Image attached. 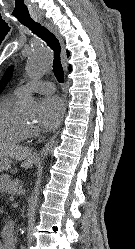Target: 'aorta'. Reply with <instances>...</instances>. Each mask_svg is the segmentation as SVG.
Listing matches in <instances>:
<instances>
[{"label":"aorta","mask_w":135,"mask_h":249,"mask_svg":"<svg viewBox=\"0 0 135 249\" xmlns=\"http://www.w3.org/2000/svg\"><path fill=\"white\" fill-rule=\"evenodd\" d=\"M51 66V54L45 47L35 48L28 57L26 64V74L32 80L41 79ZM23 108L30 114L37 111V102L31 95L24 97Z\"/></svg>","instance_id":"1"}]
</instances>
